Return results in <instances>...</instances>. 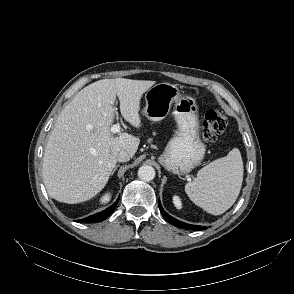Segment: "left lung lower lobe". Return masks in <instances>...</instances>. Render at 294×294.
I'll return each mask as SVG.
<instances>
[{
	"label": "left lung lower lobe",
	"instance_id": "left-lung-lower-lobe-1",
	"mask_svg": "<svg viewBox=\"0 0 294 294\" xmlns=\"http://www.w3.org/2000/svg\"><path fill=\"white\" fill-rule=\"evenodd\" d=\"M159 203V209L163 215V217L172 225L182 228V229H189V230H204L207 227L205 226H196V225H190V224H186L184 222L178 221L175 218L171 217L169 214H167L164 209L161 206L160 200H158Z\"/></svg>",
	"mask_w": 294,
	"mask_h": 294
}]
</instances>
